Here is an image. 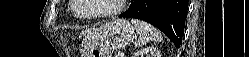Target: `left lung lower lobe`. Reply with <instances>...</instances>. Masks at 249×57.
I'll list each match as a JSON object with an SVG mask.
<instances>
[{
	"mask_svg": "<svg viewBox=\"0 0 249 57\" xmlns=\"http://www.w3.org/2000/svg\"><path fill=\"white\" fill-rule=\"evenodd\" d=\"M188 0H132L119 17L146 21L161 30L175 46L182 43Z\"/></svg>",
	"mask_w": 249,
	"mask_h": 57,
	"instance_id": "0a47b994",
	"label": "left lung lower lobe"
}]
</instances>
